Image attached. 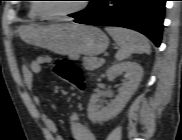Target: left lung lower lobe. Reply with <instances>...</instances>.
<instances>
[{"mask_svg": "<svg viewBox=\"0 0 182 140\" xmlns=\"http://www.w3.org/2000/svg\"><path fill=\"white\" fill-rule=\"evenodd\" d=\"M166 0H99L75 17L76 23L119 26L146 35L157 47L162 39Z\"/></svg>", "mask_w": 182, "mask_h": 140, "instance_id": "0a47b994", "label": "left lung lower lobe"}]
</instances>
